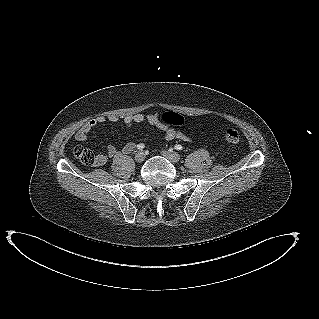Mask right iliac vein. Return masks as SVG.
Here are the masks:
<instances>
[{
  "label": "right iliac vein",
  "mask_w": 319,
  "mask_h": 319,
  "mask_svg": "<svg viewBox=\"0 0 319 319\" xmlns=\"http://www.w3.org/2000/svg\"><path fill=\"white\" fill-rule=\"evenodd\" d=\"M134 158L136 162L141 163L145 160V154L143 152H137Z\"/></svg>",
  "instance_id": "1"
}]
</instances>
